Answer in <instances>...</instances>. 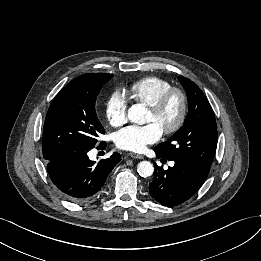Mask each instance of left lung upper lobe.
<instances>
[{
    "label": "left lung upper lobe",
    "mask_w": 261,
    "mask_h": 261,
    "mask_svg": "<svg viewBox=\"0 0 261 261\" xmlns=\"http://www.w3.org/2000/svg\"><path fill=\"white\" fill-rule=\"evenodd\" d=\"M185 88L189 112L183 126L154 151L168 160L182 161L191 168L208 174L216 150L217 125L213 109L199 87L180 76Z\"/></svg>",
    "instance_id": "1"
}]
</instances>
